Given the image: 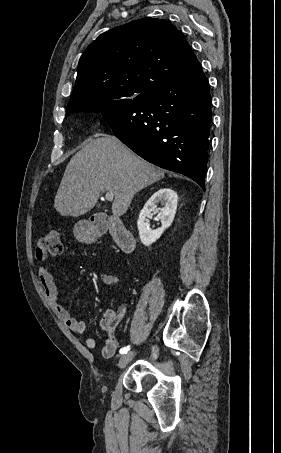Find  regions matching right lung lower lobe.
I'll return each mask as SVG.
<instances>
[{
  "label": "right lung lower lobe",
  "mask_w": 281,
  "mask_h": 453,
  "mask_svg": "<svg viewBox=\"0 0 281 453\" xmlns=\"http://www.w3.org/2000/svg\"><path fill=\"white\" fill-rule=\"evenodd\" d=\"M211 104L209 82L197 61L182 75L98 111L136 154L188 176L205 190Z\"/></svg>",
  "instance_id": "1"
}]
</instances>
